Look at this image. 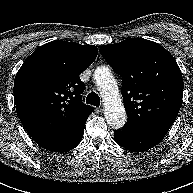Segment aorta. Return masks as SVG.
Here are the masks:
<instances>
[{"label": "aorta", "mask_w": 193, "mask_h": 193, "mask_svg": "<svg viewBox=\"0 0 193 193\" xmlns=\"http://www.w3.org/2000/svg\"><path fill=\"white\" fill-rule=\"evenodd\" d=\"M94 79L99 88L105 104V118L107 123L114 129L124 126L127 115L122 104L116 80L108 67H98L94 72Z\"/></svg>", "instance_id": "1"}]
</instances>
